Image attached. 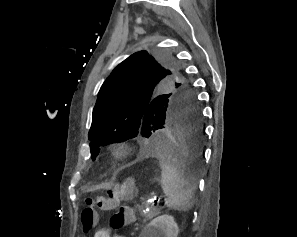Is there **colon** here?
<instances>
[{
  "label": "colon",
  "instance_id": "1",
  "mask_svg": "<svg viewBox=\"0 0 297 237\" xmlns=\"http://www.w3.org/2000/svg\"><path fill=\"white\" fill-rule=\"evenodd\" d=\"M129 184L115 187L106 195H96L86 199V207L81 214V223L85 233L91 232L97 221V210H115L110 219V226L119 229L134 220V213L131 207L120 205V200L128 195Z\"/></svg>",
  "mask_w": 297,
  "mask_h": 237
}]
</instances>
